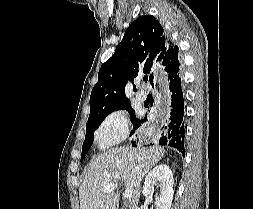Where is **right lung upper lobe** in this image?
<instances>
[{"label": "right lung upper lobe", "mask_w": 253, "mask_h": 209, "mask_svg": "<svg viewBox=\"0 0 253 209\" xmlns=\"http://www.w3.org/2000/svg\"><path fill=\"white\" fill-rule=\"evenodd\" d=\"M154 59L161 62L167 76L180 70L178 46L170 41L155 17L140 16L127 28L114 55L101 66L90 96L89 117L130 106L124 94L127 81L150 74ZM149 79L153 86V73Z\"/></svg>", "instance_id": "right-lung-upper-lobe-1"}]
</instances>
